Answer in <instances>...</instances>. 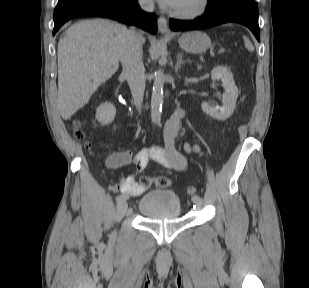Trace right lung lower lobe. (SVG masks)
<instances>
[{
	"instance_id": "right-lung-lower-lobe-1",
	"label": "right lung lower lobe",
	"mask_w": 309,
	"mask_h": 288,
	"mask_svg": "<svg viewBox=\"0 0 309 288\" xmlns=\"http://www.w3.org/2000/svg\"><path fill=\"white\" fill-rule=\"evenodd\" d=\"M81 16L106 17L136 25L155 34L157 21L153 14L141 11L137 0H77L54 12L53 35L68 20Z\"/></svg>"
}]
</instances>
